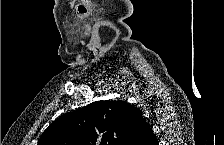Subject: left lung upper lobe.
<instances>
[{
    "instance_id": "1",
    "label": "left lung upper lobe",
    "mask_w": 224,
    "mask_h": 145,
    "mask_svg": "<svg viewBox=\"0 0 224 145\" xmlns=\"http://www.w3.org/2000/svg\"><path fill=\"white\" fill-rule=\"evenodd\" d=\"M141 120L125 101H96L56 119L38 145H130Z\"/></svg>"
}]
</instances>
